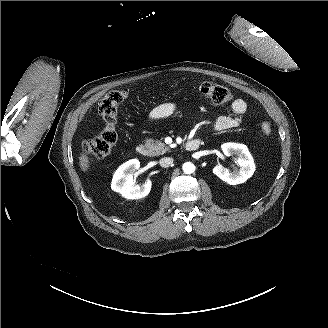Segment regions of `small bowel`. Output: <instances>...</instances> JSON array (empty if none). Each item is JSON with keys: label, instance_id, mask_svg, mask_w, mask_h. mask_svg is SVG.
<instances>
[{"label": "small bowel", "instance_id": "c3829d8e", "mask_svg": "<svg viewBox=\"0 0 328 328\" xmlns=\"http://www.w3.org/2000/svg\"><path fill=\"white\" fill-rule=\"evenodd\" d=\"M233 116H221L214 120L213 128L217 131H224L237 128L241 125L247 111V104L243 99H235L232 103ZM177 111V106L173 103H164L155 107L148 116L150 121H157L167 118Z\"/></svg>", "mask_w": 328, "mask_h": 328}]
</instances>
